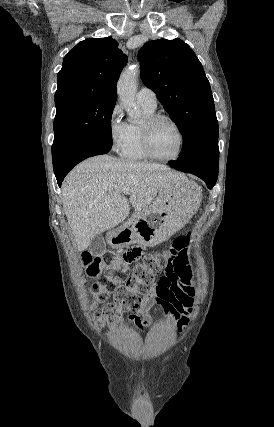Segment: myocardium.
Returning <instances> with one entry per match:
<instances>
[{
  "instance_id": "myocardium-1",
  "label": "myocardium",
  "mask_w": 274,
  "mask_h": 427,
  "mask_svg": "<svg viewBox=\"0 0 274 427\" xmlns=\"http://www.w3.org/2000/svg\"><path fill=\"white\" fill-rule=\"evenodd\" d=\"M160 121H165L171 124L175 128L179 136L178 152L175 156L170 158H164L159 156L154 152L151 146L152 129ZM140 143L143 152L149 159L160 162H172L178 160L182 156L185 147V136L181 127L174 119L164 114H153L151 116L145 117L140 124Z\"/></svg>"
}]
</instances>
